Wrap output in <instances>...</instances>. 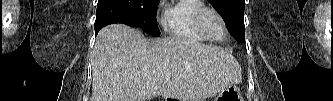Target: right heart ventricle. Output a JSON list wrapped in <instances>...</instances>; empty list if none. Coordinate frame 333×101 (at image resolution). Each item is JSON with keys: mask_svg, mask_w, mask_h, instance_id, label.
Wrapping results in <instances>:
<instances>
[{"mask_svg": "<svg viewBox=\"0 0 333 101\" xmlns=\"http://www.w3.org/2000/svg\"><path fill=\"white\" fill-rule=\"evenodd\" d=\"M201 7L203 5L198 0H178L169 6L164 22L168 33L176 39L207 42L208 39L198 31L194 21L195 13Z\"/></svg>", "mask_w": 333, "mask_h": 101, "instance_id": "1", "label": "right heart ventricle"}]
</instances>
